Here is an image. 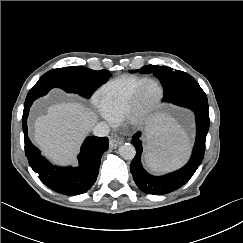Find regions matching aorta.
<instances>
[{"label":"aorta","mask_w":243,"mask_h":243,"mask_svg":"<svg viewBox=\"0 0 243 243\" xmlns=\"http://www.w3.org/2000/svg\"><path fill=\"white\" fill-rule=\"evenodd\" d=\"M118 152L120 156L125 160H132L136 154L135 147L130 143H125L121 145L118 149Z\"/></svg>","instance_id":"762f6f07"}]
</instances>
